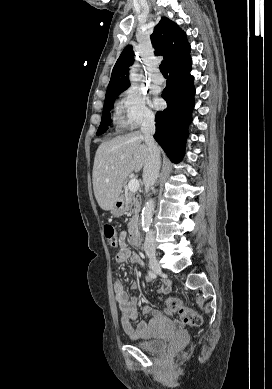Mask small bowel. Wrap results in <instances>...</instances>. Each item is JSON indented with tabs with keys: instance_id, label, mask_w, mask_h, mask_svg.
Returning <instances> with one entry per match:
<instances>
[{
	"instance_id": "c3829d8e",
	"label": "small bowel",
	"mask_w": 272,
	"mask_h": 389,
	"mask_svg": "<svg viewBox=\"0 0 272 389\" xmlns=\"http://www.w3.org/2000/svg\"><path fill=\"white\" fill-rule=\"evenodd\" d=\"M125 234H122L119 238V251L115 255V261L119 264L130 260L132 263L143 266L139 256L133 253L125 242ZM131 289L137 288V283L132 282ZM115 299L119 307L121 314V324L124 332L132 340H145L152 337L151 322L140 321L137 328L133 327V323L138 318V303L137 297H129L124 289V285L120 280L114 282L113 285ZM162 294H168L170 292V286L163 284L159 290ZM144 312H152L153 318L158 319L161 317V313L156 310H152L150 307H145Z\"/></svg>"
}]
</instances>
